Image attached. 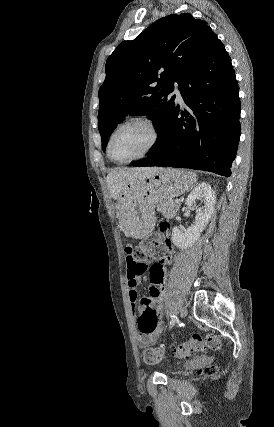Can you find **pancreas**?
<instances>
[{"mask_svg":"<svg viewBox=\"0 0 274 427\" xmlns=\"http://www.w3.org/2000/svg\"><path fill=\"white\" fill-rule=\"evenodd\" d=\"M180 204H176L174 200H160L157 210L158 212H162L164 217H168V219H171V217H175L176 212L179 210Z\"/></svg>","mask_w":274,"mask_h":427,"instance_id":"cf45deb5","label":"pancreas"}]
</instances>
